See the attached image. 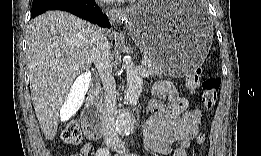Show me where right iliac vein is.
<instances>
[{"label":"right iliac vein","instance_id":"obj_1","mask_svg":"<svg viewBox=\"0 0 261 156\" xmlns=\"http://www.w3.org/2000/svg\"><path fill=\"white\" fill-rule=\"evenodd\" d=\"M109 146H110L111 148H115V144L110 143Z\"/></svg>","mask_w":261,"mask_h":156}]
</instances>
